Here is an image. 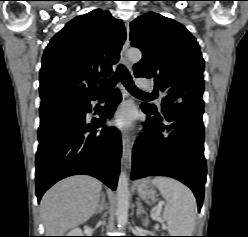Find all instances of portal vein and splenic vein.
<instances>
[{
    "label": "portal vein and splenic vein",
    "instance_id": "portal-vein-and-splenic-vein-1",
    "mask_svg": "<svg viewBox=\"0 0 248 237\" xmlns=\"http://www.w3.org/2000/svg\"><path fill=\"white\" fill-rule=\"evenodd\" d=\"M161 209H162V202H160L158 204V206H157L156 218H157L158 221H161L160 217L158 216L160 211H161Z\"/></svg>",
    "mask_w": 248,
    "mask_h": 237
}]
</instances>
